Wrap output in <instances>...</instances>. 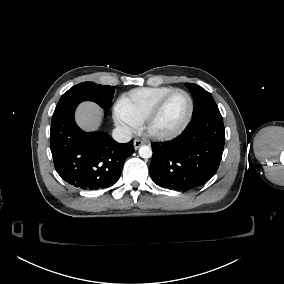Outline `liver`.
Masks as SVG:
<instances>
[{
    "label": "liver",
    "instance_id": "obj_1",
    "mask_svg": "<svg viewBox=\"0 0 284 284\" xmlns=\"http://www.w3.org/2000/svg\"><path fill=\"white\" fill-rule=\"evenodd\" d=\"M100 110L92 104H84L78 112V121L87 129H96Z\"/></svg>",
    "mask_w": 284,
    "mask_h": 284
}]
</instances>
